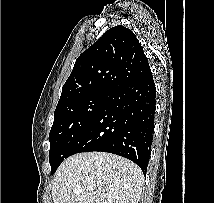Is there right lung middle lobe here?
Returning <instances> with one entry per match:
<instances>
[{
  "label": "right lung middle lobe",
  "instance_id": "1",
  "mask_svg": "<svg viewBox=\"0 0 214 203\" xmlns=\"http://www.w3.org/2000/svg\"><path fill=\"white\" fill-rule=\"evenodd\" d=\"M110 94L92 93L58 106L49 134L51 174L100 113Z\"/></svg>",
  "mask_w": 214,
  "mask_h": 203
}]
</instances>
